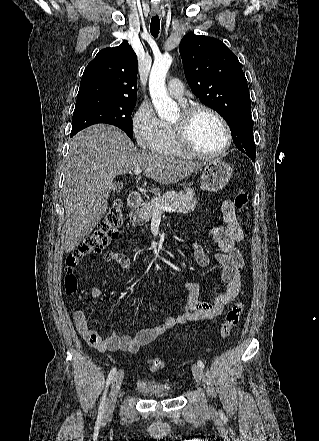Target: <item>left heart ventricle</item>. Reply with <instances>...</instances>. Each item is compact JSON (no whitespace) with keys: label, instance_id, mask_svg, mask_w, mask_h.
<instances>
[{"label":"left heart ventricle","instance_id":"obj_1","mask_svg":"<svg viewBox=\"0 0 319 441\" xmlns=\"http://www.w3.org/2000/svg\"><path fill=\"white\" fill-rule=\"evenodd\" d=\"M179 117L180 113L173 122L177 121ZM189 137L192 145L202 152L218 151L226 142L223 126L214 116L206 112H201L194 118Z\"/></svg>","mask_w":319,"mask_h":441}]
</instances>
